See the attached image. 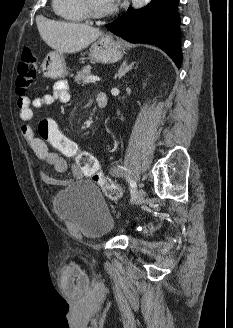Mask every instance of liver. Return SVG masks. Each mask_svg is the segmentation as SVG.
<instances>
[{"instance_id": "liver-1", "label": "liver", "mask_w": 233, "mask_h": 328, "mask_svg": "<svg viewBox=\"0 0 233 328\" xmlns=\"http://www.w3.org/2000/svg\"><path fill=\"white\" fill-rule=\"evenodd\" d=\"M37 27L44 42L58 53H76L94 42L102 33L83 23L52 21L37 18Z\"/></svg>"}]
</instances>
